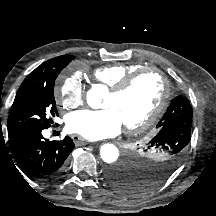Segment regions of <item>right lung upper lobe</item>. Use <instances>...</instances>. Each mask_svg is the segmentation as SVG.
<instances>
[{
    "label": "right lung upper lobe",
    "instance_id": "1",
    "mask_svg": "<svg viewBox=\"0 0 216 216\" xmlns=\"http://www.w3.org/2000/svg\"><path fill=\"white\" fill-rule=\"evenodd\" d=\"M67 56H71V55H63V56H59V57H56V58H53V59H50L46 62H44L43 64H41L39 67H37L34 71H32L28 77L24 80V82L22 83V85L20 86L17 94H16V97H18L23 89L25 88V86H27L30 82H32L33 80L35 79H38L44 75H46V73L48 72L49 70V67L51 66V64L61 58H64V57H67ZM74 57V56H72Z\"/></svg>",
    "mask_w": 216,
    "mask_h": 216
}]
</instances>
